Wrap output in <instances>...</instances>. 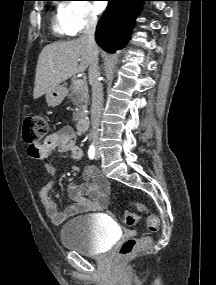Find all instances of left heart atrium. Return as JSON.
<instances>
[{
	"instance_id": "obj_1",
	"label": "left heart atrium",
	"mask_w": 216,
	"mask_h": 285,
	"mask_svg": "<svg viewBox=\"0 0 216 285\" xmlns=\"http://www.w3.org/2000/svg\"><path fill=\"white\" fill-rule=\"evenodd\" d=\"M107 3L105 1H97L95 3V9L97 12H102L106 8Z\"/></svg>"
}]
</instances>
